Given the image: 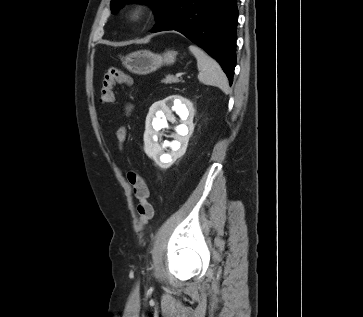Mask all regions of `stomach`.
Here are the masks:
<instances>
[{
	"instance_id": "1",
	"label": "stomach",
	"mask_w": 363,
	"mask_h": 317,
	"mask_svg": "<svg viewBox=\"0 0 363 317\" xmlns=\"http://www.w3.org/2000/svg\"><path fill=\"white\" fill-rule=\"evenodd\" d=\"M176 60L175 51L156 54L148 50L135 51L123 58L122 64L132 73L146 75L163 65H171Z\"/></svg>"
}]
</instances>
